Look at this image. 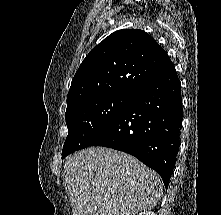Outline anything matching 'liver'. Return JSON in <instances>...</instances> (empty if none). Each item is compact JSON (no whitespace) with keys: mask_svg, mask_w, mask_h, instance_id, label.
<instances>
[{"mask_svg":"<svg viewBox=\"0 0 221 215\" xmlns=\"http://www.w3.org/2000/svg\"><path fill=\"white\" fill-rule=\"evenodd\" d=\"M65 183L74 215H136L161 199V177L121 151L91 147L68 156Z\"/></svg>","mask_w":221,"mask_h":215,"instance_id":"6515ba94","label":"liver"}]
</instances>
